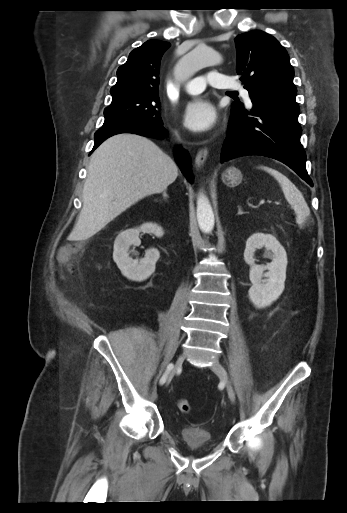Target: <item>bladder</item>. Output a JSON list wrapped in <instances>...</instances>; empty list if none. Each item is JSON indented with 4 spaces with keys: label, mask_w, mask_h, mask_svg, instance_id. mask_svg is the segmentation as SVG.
<instances>
[{
    "label": "bladder",
    "mask_w": 347,
    "mask_h": 513,
    "mask_svg": "<svg viewBox=\"0 0 347 513\" xmlns=\"http://www.w3.org/2000/svg\"><path fill=\"white\" fill-rule=\"evenodd\" d=\"M185 446L196 452H209L217 446L210 431L197 427L186 426L180 430Z\"/></svg>",
    "instance_id": "1"
}]
</instances>
